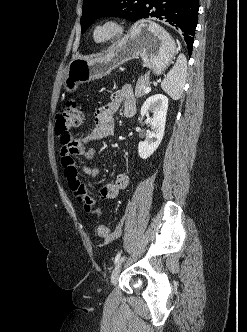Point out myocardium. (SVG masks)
<instances>
[{
    "label": "myocardium",
    "mask_w": 247,
    "mask_h": 332,
    "mask_svg": "<svg viewBox=\"0 0 247 332\" xmlns=\"http://www.w3.org/2000/svg\"><path fill=\"white\" fill-rule=\"evenodd\" d=\"M107 28L110 34L102 39L97 37V32L101 29ZM125 33V25L117 18H105L96 22L91 29V38L96 44H108L118 40Z\"/></svg>",
    "instance_id": "obj_1"
}]
</instances>
